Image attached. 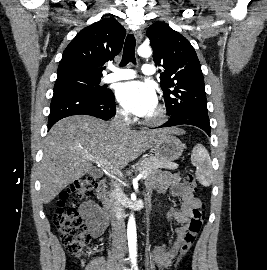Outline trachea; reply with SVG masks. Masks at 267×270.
I'll return each mask as SVG.
<instances>
[{"label": "trachea", "instance_id": "trachea-1", "mask_svg": "<svg viewBox=\"0 0 267 270\" xmlns=\"http://www.w3.org/2000/svg\"><path fill=\"white\" fill-rule=\"evenodd\" d=\"M135 37L132 34H129L126 37L125 44H124V49H123V56H122V61H121V66H125L129 62L135 63Z\"/></svg>", "mask_w": 267, "mask_h": 270}]
</instances>
